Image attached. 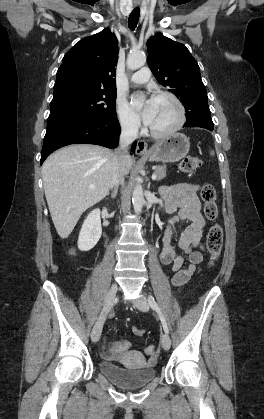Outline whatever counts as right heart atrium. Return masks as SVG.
Masks as SVG:
<instances>
[{
  "label": "right heart atrium",
  "instance_id": "right-heart-atrium-1",
  "mask_svg": "<svg viewBox=\"0 0 264 419\" xmlns=\"http://www.w3.org/2000/svg\"><path fill=\"white\" fill-rule=\"evenodd\" d=\"M115 108L122 129L128 133H137L141 128L140 120L127 101L122 97H118L115 102Z\"/></svg>",
  "mask_w": 264,
  "mask_h": 419
}]
</instances>
